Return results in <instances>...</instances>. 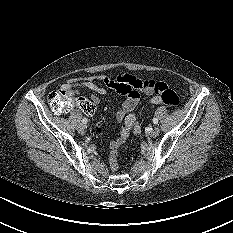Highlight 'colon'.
Masks as SVG:
<instances>
[{"mask_svg": "<svg viewBox=\"0 0 233 233\" xmlns=\"http://www.w3.org/2000/svg\"><path fill=\"white\" fill-rule=\"evenodd\" d=\"M120 87L123 89L140 88L143 86V81L138 79L135 75L124 73L118 75ZM156 94H158V104H165L168 106H178L180 104L179 96L170 89L166 84L161 82H154L151 84ZM49 105L52 111L56 114L70 109L75 103V99L70 97L65 91L58 89L50 92L48 96ZM89 103V102H88ZM90 106V105H89ZM88 106V108H89ZM87 108V109H88ZM132 118L129 120L132 123ZM92 134L95 137H101L104 134V120L101 117H96L93 120ZM110 165L113 171L118 169L117 152L112 151L110 154Z\"/></svg>", "mask_w": 233, "mask_h": 233, "instance_id": "obj_1", "label": "colon"}]
</instances>
